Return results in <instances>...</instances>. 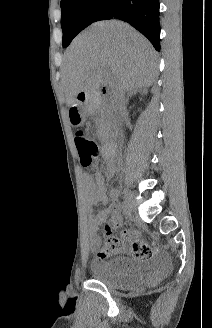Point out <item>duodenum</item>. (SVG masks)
I'll return each mask as SVG.
<instances>
[{
	"mask_svg": "<svg viewBox=\"0 0 212 328\" xmlns=\"http://www.w3.org/2000/svg\"><path fill=\"white\" fill-rule=\"evenodd\" d=\"M113 96L111 90L107 86H103L100 93L98 95L85 93L82 97L78 98V103L81 106H88L90 104L95 103L97 100L101 98H111ZM114 153H115V145L113 142H108L103 147V156L108 160V170L112 172L114 170Z\"/></svg>",
	"mask_w": 212,
	"mask_h": 328,
	"instance_id": "duodenum-1",
	"label": "duodenum"
}]
</instances>
